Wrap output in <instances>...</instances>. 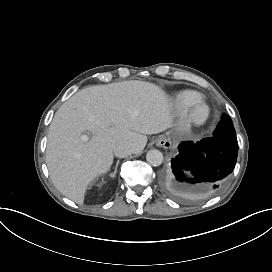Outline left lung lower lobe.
Returning <instances> with one entry per match:
<instances>
[{
    "label": "left lung lower lobe",
    "mask_w": 272,
    "mask_h": 272,
    "mask_svg": "<svg viewBox=\"0 0 272 272\" xmlns=\"http://www.w3.org/2000/svg\"><path fill=\"white\" fill-rule=\"evenodd\" d=\"M178 149L179 154L171 159L174 175L169 170L165 182L169 187L190 195L205 196L218 192L233 171L238 154L237 143L213 136L197 143L182 142ZM184 172L191 173L193 178L187 179Z\"/></svg>",
    "instance_id": "obj_1"
}]
</instances>
